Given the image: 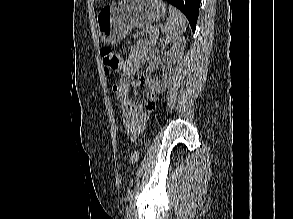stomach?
<instances>
[{"label":"stomach","mask_w":293,"mask_h":219,"mask_svg":"<svg viewBox=\"0 0 293 219\" xmlns=\"http://www.w3.org/2000/svg\"><path fill=\"white\" fill-rule=\"evenodd\" d=\"M166 14L161 0H122L104 6L97 14V27L104 43H118L133 27L145 28Z\"/></svg>","instance_id":"obj_1"}]
</instances>
